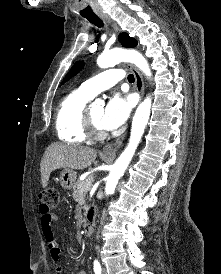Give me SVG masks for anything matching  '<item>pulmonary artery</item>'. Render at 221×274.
Wrapping results in <instances>:
<instances>
[{"instance_id": "obj_1", "label": "pulmonary artery", "mask_w": 221, "mask_h": 274, "mask_svg": "<svg viewBox=\"0 0 221 274\" xmlns=\"http://www.w3.org/2000/svg\"><path fill=\"white\" fill-rule=\"evenodd\" d=\"M123 77V72L120 69H109L86 80L80 88L95 96L99 92L116 85Z\"/></svg>"}]
</instances>
